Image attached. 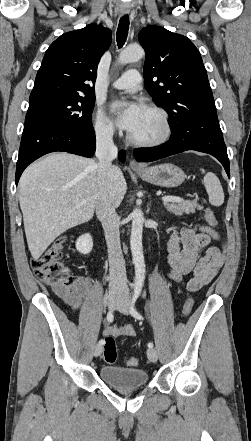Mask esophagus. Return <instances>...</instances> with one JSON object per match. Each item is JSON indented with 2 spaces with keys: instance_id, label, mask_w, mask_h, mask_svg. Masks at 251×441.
Instances as JSON below:
<instances>
[{
  "instance_id": "1",
  "label": "esophagus",
  "mask_w": 251,
  "mask_h": 441,
  "mask_svg": "<svg viewBox=\"0 0 251 441\" xmlns=\"http://www.w3.org/2000/svg\"><path fill=\"white\" fill-rule=\"evenodd\" d=\"M129 12H130V9H129V8L123 7V8L120 9V13H121V15H126V14H128ZM129 166H130V168H132V169H140V168H142V165L139 164L138 162H136L135 160H130V162H129Z\"/></svg>"
}]
</instances>
